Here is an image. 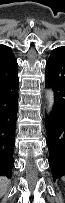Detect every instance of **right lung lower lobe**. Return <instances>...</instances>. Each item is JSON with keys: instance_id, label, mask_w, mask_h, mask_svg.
<instances>
[{"instance_id": "1", "label": "right lung lower lobe", "mask_w": 65, "mask_h": 203, "mask_svg": "<svg viewBox=\"0 0 65 203\" xmlns=\"http://www.w3.org/2000/svg\"><path fill=\"white\" fill-rule=\"evenodd\" d=\"M18 88L17 67L0 70V175L9 178L14 166Z\"/></svg>"}]
</instances>
